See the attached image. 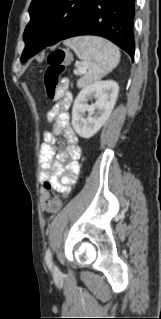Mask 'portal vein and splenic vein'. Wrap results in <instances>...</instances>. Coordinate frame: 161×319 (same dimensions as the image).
Wrapping results in <instances>:
<instances>
[{
    "instance_id": "1",
    "label": "portal vein and splenic vein",
    "mask_w": 161,
    "mask_h": 319,
    "mask_svg": "<svg viewBox=\"0 0 161 319\" xmlns=\"http://www.w3.org/2000/svg\"><path fill=\"white\" fill-rule=\"evenodd\" d=\"M86 73V69L85 68H79L77 71H76V74H84Z\"/></svg>"
}]
</instances>
